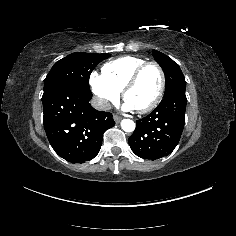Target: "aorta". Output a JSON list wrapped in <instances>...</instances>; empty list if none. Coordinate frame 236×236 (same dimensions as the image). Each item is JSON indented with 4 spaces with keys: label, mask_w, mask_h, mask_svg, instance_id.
I'll return each instance as SVG.
<instances>
[{
    "label": "aorta",
    "mask_w": 236,
    "mask_h": 236,
    "mask_svg": "<svg viewBox=\"0 0 236 236\" xmlns=\"http://www.w3.org/2000/svg\"><path fill=\"white\" fill-rule=\"evenodd\" d=\"M121 128L124 131L131 132L135 128V123L131 119H122V121H121Z\"/></svg>",
    "instance_id": "762f6f07"
}]
</instances>
